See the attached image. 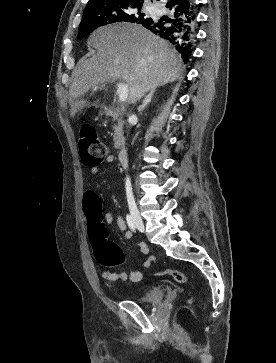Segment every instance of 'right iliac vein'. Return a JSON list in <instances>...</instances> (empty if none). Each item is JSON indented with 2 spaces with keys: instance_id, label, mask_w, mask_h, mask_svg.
Returning a JSON list of instances; mask_svg holds the SVG:
<instances>
[{
  "instance_id": "1",
  "label": "right iliac vein",
  "mask_w": 276,
  "mask_h": 363,
  "mask_svg": "<svg viewBox=\"0 0 276 363\" xmlns=\"http://www.w3.org/2000/svg\"><path fill=\"white\" fill-rule=\"evenodd\" d=\"M130 214L136 228L139 231L144 232V223L136 206H130Z\"/></svg>"
}]
</instances>
